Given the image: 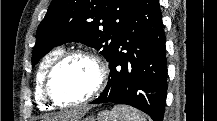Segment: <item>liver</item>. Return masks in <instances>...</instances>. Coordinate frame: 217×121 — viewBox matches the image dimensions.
Returning a JSON list of instances; mask_svg holds the SVG:
<instances>
[{
	"label": "liver",
	"instance_id": "1",
	"mask_svg": "<svg viewBox=\"0 0 217 121\" xmlns=\"http://www.w3.org/2000/svg\"><path fill=\"white\" fill-rule=\"evenodd\" d=\"M57 119H59V120L62 119V121H67V119H70V114L69 113H65V114L59 115L57 117Z\"/></svg>",
	"mask_w": 217,
	"mask_h": 121
}]
</instances>
